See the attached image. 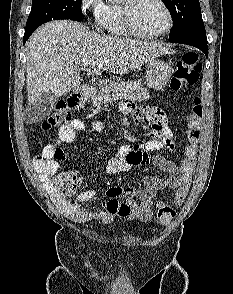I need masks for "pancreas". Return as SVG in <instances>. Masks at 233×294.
<instances>
[{
    "label": "pancreas",
    "mask_w": 233,
    "mask_h": 294,
    "mask_svg": "<svg viewBox=\"0 0 233 294\" xmlns=\"http://www.w3.org/2000/svg\"><path fill=\"white\" fill-rule=\"evenodd\" d=\"M149 97L148 90L139 81L117 80L100 87L98 92L93 94L92 102L94 106L98 107L118 99L142 101Z\"/></svg>",
    "instance_id": "pancreas-1"
}]
</instances>
